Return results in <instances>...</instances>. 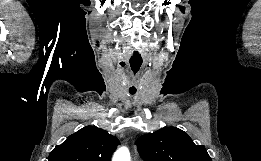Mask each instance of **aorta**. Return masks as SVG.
I'll return each instance as SVG.
<instances>
[{
  "label": "aorta",
  "instance_id": "obj_1",
  "mask_svg": "<svg viewBox=\"0 0 261 161\" xmlns=\"http://www.w3.org/2000/svg\"><path fill=\"white\" fill-rule=\"evenodd\" d=\"M112 161H131L129 150L126 147L119 148L114 153Z\"/></svg>",
  "mask_w": 261,
  "mask_h": 161
}]
</instances>
